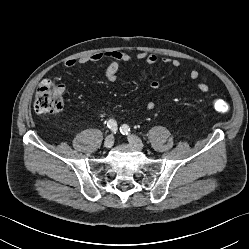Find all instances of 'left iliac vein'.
I'll use <instances>...</instances> for the list:
<instances>
[{
	"label": "left iliac vein",
	"mask_w": 249,
	"mask_h": 249,
	"mask_svg": "<svg viewBox=\"0 0 249 249\" xmlns=\"http://www.w3.org/2000/svg\"><path fill=\"white\" fill-rule=\"evenodd\" d=\"M128 141H129V143L131 145H133L134 147H136L139 150H142L144 148L143 142L136 135H129L128 136Z\"/></svg>",
	"instance_id": "obj_1"
}]
</instances>
